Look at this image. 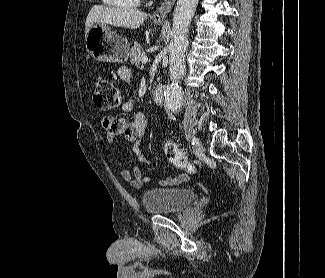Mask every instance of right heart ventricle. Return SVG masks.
I'll return each instance as SVG.
<instances>
[{
	"label": "right heart ventricle",
	"mask_w": 325,
	"mask_h": 278,
	"mask_svg": "<svg viewBox=\"0 0 325 278\" xmlns=\"http://www.w3.org/2000/svg\"><path fill=\"white\" fill-rule=\"evenodd\" d=\"M102 2L115 8L129 9L136 8L140 0H102Z\"/></svg>",
	"instance_id": "e07e8e85"
}]
</instances>
